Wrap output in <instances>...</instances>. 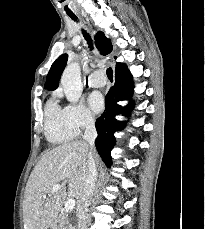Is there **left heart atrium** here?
Listing matches in <instances>:
<instances>
[{
	"label": "left heart atrium",
	"mask_w": 205,
	"mask_h": 229,
	"mask_svg": "<svg viewBox=\"0 0 205 229\" xmlns=\"http://www.w3.org/2000/svg\"><path fill=\"white\" fill-rule=\"evenodd\" d=\"M88 103H89L90 108L95 112L102 111L104 107L103 98L99 93H92L89 96Z\"/></svg>",
	"instance_id": "1"
}]
</instances>
